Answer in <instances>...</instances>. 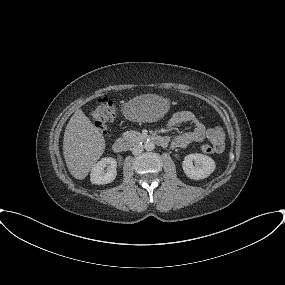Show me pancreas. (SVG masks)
<instances>
[{"label":"pancreas","instance_id":"cf45deb5","mask_svg":"<svg viewBox=\"0 0 285 285\" xmlns=\"http://www.w3.org/2000/svg\"><path fill=\"white\" fill-rule=\"evenodd\" d=\"M123 136L136 141L142 137V134L140 132L131 130V131H127V132L123 133Z\"/></svg>","mask_w":285,"mask_h":285}]
</instances>
